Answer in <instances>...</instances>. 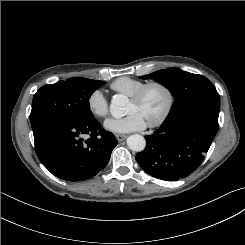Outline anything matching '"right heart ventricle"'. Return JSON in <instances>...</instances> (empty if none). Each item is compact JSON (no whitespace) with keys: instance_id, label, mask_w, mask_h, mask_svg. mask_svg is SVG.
I'll return each instance as SVG.
<instances>
[{"instance_id":"1","label":"right heart ventricle","mask_w":245,"mask_h":245,"mask_svg":"<svg viewBox=\"0 0 245 245\" xmlns=\"http://www.w3.org/2000/svg\"><path fill=\"white\" fill-rule=\"evenodd\" d=\"M145 84L144 81L131 77H120L111 83V89L117 93L131 96Z\"/></svg>"}]
</instances>
